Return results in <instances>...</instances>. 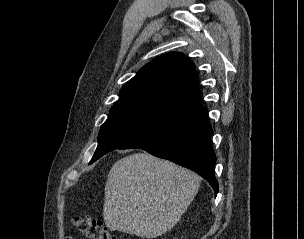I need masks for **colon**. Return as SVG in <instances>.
<instances>
[{
	"mask_svg": "<svg viewBox=\"0 0 304 239\" xmlns=\"http://www.w3.org/2000/svg\"><path fill=\"white\" fill-rule=\"evenodd\" d=\"M77 231L87 239H119L104 224L89 216H77L73 219Z\"/></svg>",
	"mask_w": 304,
	"mask_h": 239,
	"instance_id": "colon-1",
	"label": "colon"
}]
</instances>
